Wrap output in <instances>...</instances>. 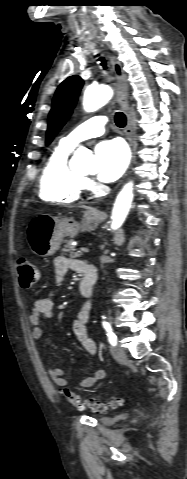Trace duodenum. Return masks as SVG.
<instances>
[{
	"label": "duodenum",
	"instance_id": "410a0bca",
	"mask_svg": "<svg viewBox=\"0 0 187 479\" xmlns=\"http://www.w3.org/2000/svg\"><path fill=\"white\" fill-rule=\"evenodd\" d=\"M96 280H97V275H96L95 268L94 269H88L85 272L84 279L81 281V283L79 285V290L85 298L89 299L93 296L94 290H95V285H96Z\"/></svg>",
	"mask_w": 187,
	"mask_h": 479
}]
</instances>
